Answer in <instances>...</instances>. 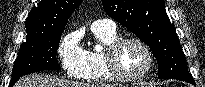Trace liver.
<instances>
[{"instance_id": "1", "label": "liver", "mask_w": 205, "mask_h": 87, "mask_svg": "<svg viewBox=\"0 0 205 87\" xmlns=\"http://www.w3.org/2000/svg\"><path fill=\"white\" fill-rule=\"evenodd\" d=\"M14 87H114L109 84H89L68 81L57 77L31 74L21 78Z\"/></svg>"}]
</instances>
